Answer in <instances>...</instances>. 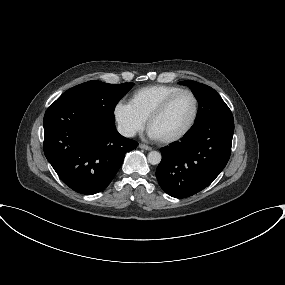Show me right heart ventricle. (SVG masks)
I'll return each mask as SVG.
<instances>
[{"label":"right heart ventricle","instance_id":"obj_1","mask_svg":"<svg viewBox=\"0 0 285 285\" xmlns=\"http://www.w3.org/2000/svg\"><path fill=\"white\" fill-rule=\"evenodd\" d=\"M181 90L172 85H150L134 91L129 104L146 121L149 115L171 94Z\"/></svg>","mask_w":285,"mask_h":285}]
</instances>
